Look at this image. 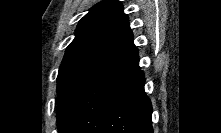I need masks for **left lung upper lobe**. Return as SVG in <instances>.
<instances>
[{
  "mask_svg": "<svg viewBox=\"0 0 221 133\" xmlns=\"http://www.w3.org/2000/svg\"><path fill=\"white\" fill-rule=\"evenodd\" d=\"M135 48L127 15L118 1H103L79 22L57 77V124L81 92L102 72Z\"/></svg>",
  "mask_w": 221,
  "mask_h": 133,
  "instance_id": "1",
  "label": "left lung upper lobe"
}]
</instances>
